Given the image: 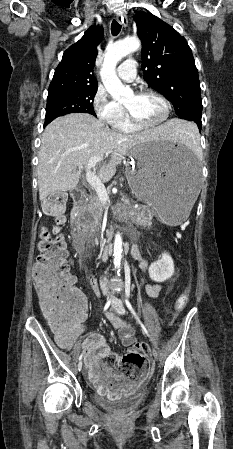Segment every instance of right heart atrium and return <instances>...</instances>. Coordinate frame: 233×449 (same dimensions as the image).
I'll use <instances>...</instances> for the list:
<instances>
[{
	"label": "right heart atrium",
	"instance_id": "1",
	"mask_svg": "<svg viewBox=\"0 0 233 449\" xmlns=\"http://www.w3.org/2000/svg\"><path fill=\"white\" fill-rule=\"evenodd\" d=\"M93 109L98 118L112 124L120 112V105L113 101L103 87H98L92 99Z\"/></svg>",
	"mask_w": 233,
	"mask_h": 449
}]
</instances>
